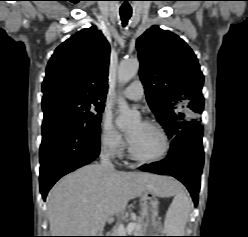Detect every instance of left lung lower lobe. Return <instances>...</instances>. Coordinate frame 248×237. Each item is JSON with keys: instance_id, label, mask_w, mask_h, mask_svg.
<instances>
[{"instance_id": "0a47b994", "label": "left lung lower lobe", "mask_w": 248, "mask_h": 237, "mask_svg": "<svg viewBox=\"0 0 248 237\" xmlns=\"http://www.w3.org/2000/svg\"><path fill=\"white\" fill-rule=\"evenodd\" d=\"M202 132L203 127L200 124L189 125L180 130L172 140L167 158L144 165L142 169L156 174L170 175L181 181L188 188L195 205L198 203L204 163Z\"/></svg>"}]
</instances>
